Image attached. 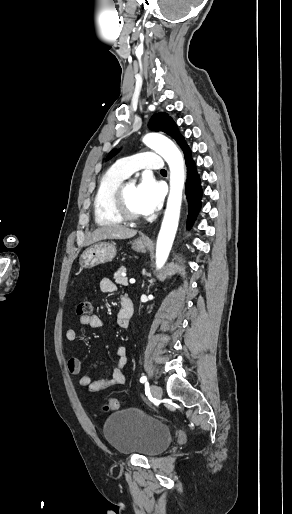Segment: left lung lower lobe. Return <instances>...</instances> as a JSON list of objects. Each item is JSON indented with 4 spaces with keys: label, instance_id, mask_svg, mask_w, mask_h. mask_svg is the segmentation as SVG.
Masks as SVG:
<instances>
[{
    "label": "left lung lower lobe",
    "instance_id": "obj_1",
    "mask_svg": "<svg viewBox=\"0 0 292 514\" xmlns=\"http://www.w3.org/2000/svg\"><path fill=\"white\" fill-rule=\"evenodd\" d=\"M183 152L187 166V180L185 184L188 201L187 227H190L201 209L203 190L200 176L196 171V164L191 156L190 148L186 146Z\"/></svg>",
    "mask_w": 292,
    "mask_h": 514
}]
</instances>
